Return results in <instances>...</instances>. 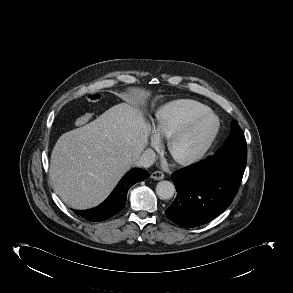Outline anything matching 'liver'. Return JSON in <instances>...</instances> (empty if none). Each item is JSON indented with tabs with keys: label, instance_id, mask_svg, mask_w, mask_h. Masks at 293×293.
Listing matches in <instances>:
<instances>
[{
	"label": "liver",
	"instance_id": "obj_1",
	"mask_svg": "<svg viewBox=\"0 0 293 293\" xmlns=\"http://www.w3.org/2000/svg\"><path fill=\"white\" fill-rule=\"evenodd\" d=\"M149 133L143 113L127 103L64 133L51 154L54 191L75 209L99 205L141 155Z\"/></svg>",
	"mask_w": 293,
	"mask_h": 293
}]
</instances>
